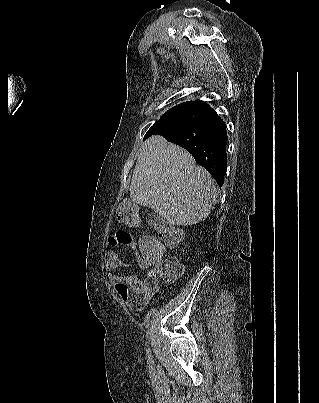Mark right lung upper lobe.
Returning <instances> with one entry per match:
<instances>
[{
  "instance_id": "1",
  "label": "right lung upper lobe",
  "mask_w": 319,
  "mask_h": 403,
  "mask_svg": "<svg viewBox=\"0 0 319 403\" xmlns=\"http://www.w3.org/2000/svg\"><path fill=\"white\" fill-rule=\"evenodd\" d=\"M190 102H191V103H195V104H199V105H202V106H205V107L211 109V108L207 105L206 102H203V101H201V100H198V101H190ZM211 110H212V109H211ZM212 112H213V113H216L214 110H212Z\"/></svg>"
}]
</instances>
